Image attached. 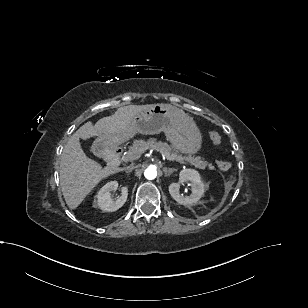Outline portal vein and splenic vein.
<instances>
[{"mask_svg": "<svg viewBox=\"0 0 308 308\" xmlns=\"http://www.w3.org/2000/svg\"><path fill=\"white\" fill-rule=\"evenodd\" d=\"M163 157H165L166 159L170 160V161H177V162H180V163H184L185 164V160L183 159H179V158H176L174 156H170V155H165V154H162Z\"/></svg>", "mask_w": 308, "mask_h": 308, "instance_id": "1", "label": "portal vein and splenic vein"}]
</instances>
